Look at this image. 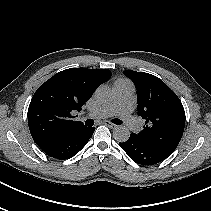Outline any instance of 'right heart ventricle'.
<instances>
[{"mask_svg": "<svg viewBox=\"0 0 211 211\" xmlns=\"http://www.w3.org/2000/svg\"><path fill=\"white\" fill-rule=\"evenodd\" d=\"M122 83H130V82L126 79H118L115 81L114 85L122 84Z\"/></svg>", "mask_w": 211, "mask_h": 211, "instance_id": "e07e8e85", "label": "right heart ventricle"}]
</instances>
